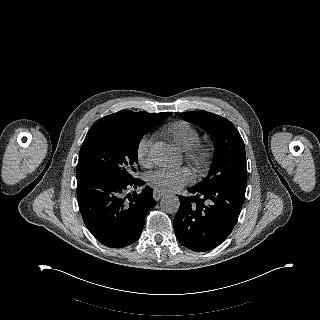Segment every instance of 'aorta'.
Returning <instances> with one entry per match:
<instances>
[{
	"instance_id": "aorta-1",
	"label": "aorta",
	"mask_w": 320,
	"mask_h": 320,
	"mask_svg": "<svg viewBox=\"0 0 320 320\" xmlns=\"http://www.w3.org/2000/svg\"><path fill=\"white\" fill-rule=\"evenodd\" d=\"M150 155L155 164L164 165L168 163L170 159L173 157V152L168 145L164 143H157L153 146ZM179 206L180 201L178 197L174 195L164 196L160 201V207L166 213L177 212Z\"/></svg>"
}]
</instances>
